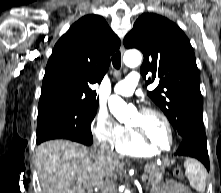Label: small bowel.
<instances>
[{
  "label": "small bowel",
  "instance_id": "obj_1",
  "mask_svg": "<svg viewBox=\"0 0 221 193\" xmlns=\"http://www.w3.org/2000/svg\"><path fill=\"white\" fill-rule=\"evenodd\" d=\"M151 193H189V189L181 184L171 182L154 188Z\"/></svg>",
  "mask_w": 221,
  "mask_h": 193
}]
</instances>
